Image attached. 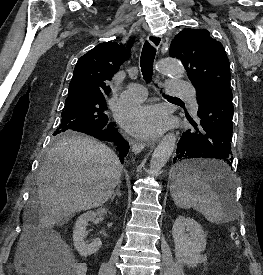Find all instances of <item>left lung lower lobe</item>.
<instances>
[{
    "label": "left lung lower lobe",
    "instance_id": "0a47b994",
    "mask_svg": "<svg viewBox=\"0 0 263 275\" xmlns=\"http://www.w3.org/2000/svg\"><path fill=\"white\" fill-rule=\"evenodd\" d=\"M200 123L189 122L195 130L182 133L177 144L174 163L195 158H213L221 160L228 167L232 164L231 141L233 132V103L231 89L219 88L197 100ZM176 177L195 175L201 180L222 182L223 171L197 167L193 164L178 166L174 172Z\"/></svg>",
    "mask_w": 263,
    "mask_h": 275
}]
</instances>
